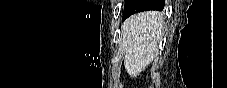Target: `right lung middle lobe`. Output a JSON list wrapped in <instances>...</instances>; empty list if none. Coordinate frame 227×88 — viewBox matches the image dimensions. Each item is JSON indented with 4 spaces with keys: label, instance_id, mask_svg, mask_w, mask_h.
Returning a JSON list of instances; mask_svg holds the SVG:
<instances>
[{
    "label": "right lung middle lobe",
    "instance_id": "right-lung-middle-lobe-1",
    "mask_svg": "<svg viewBox=\"0 0 227 88\" xmlns=\"http://www.w3.org/2000/svg\"><path fill=\"white\" fill-rule=\"evenodd\" d=\"M132 2V0H125L124 9Z\"/></svg>",
    "mask_w": 227,
    "mask_h": 88
}]
</instances>
